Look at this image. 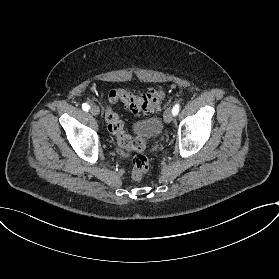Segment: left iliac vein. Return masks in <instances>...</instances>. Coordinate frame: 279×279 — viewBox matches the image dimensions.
Instances as JSON below:
<instances>
[{
  "instance_id": "4c4485c4",
  "label": "left iliac vein",
  "mask_w": 279,
  "mask_h": 279,
  "mask_svg": "<svg viewBox=\"0 0 279 279\" xmlns=\"http://www.w3.org/2000/svg\"><path fill=\"white\" fill-rule=\"evenodd\" d=\"M165 121L167 123H171L173 121V116H172V113H171V110L170 109H167L166 112H165Z\"/></svg>"
}]
</instances>
